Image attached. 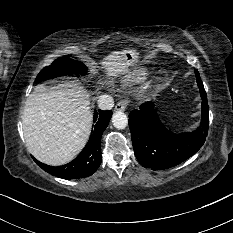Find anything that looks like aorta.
<instances>
[{
    "label": "aorta",
    "mask_w": 233,
    "mask_h": 233,
    "mask_svg": "<svg viewBox=\"0 0 233 233\" xmlns=\"http://www.w3.org/2000/svg\"><path fill=\"white\" fill-rule=\"evenodd\" d=\"M113 126L117 129H124L128 124V117L125 113L118 111L112 116Z\"/></svg>",
    "instance_id": "762f6f07"
}]
</instances>
